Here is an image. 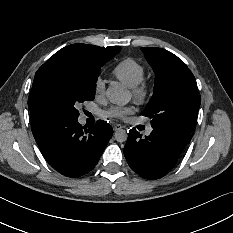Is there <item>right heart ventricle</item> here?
<instances>
[{
    "instance_id": "e07e8e85",
    "label": "right heart ventricle",
    "mask_w": 233,
    "mask_h": 233,
    "mask_svg": "<svg viewBox=\"0 0 233 233\" xmlns=\"http://www.w3.org/2000/svg\"><path fill=\"white\" fill-rule=\"evenodd\" d=\"M113 74L124 85L131 88L143 80L145 75V68L143 64L137 59L126 57L115 65Z\"/></svg>"
}]
</instances>
